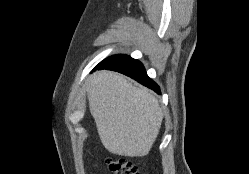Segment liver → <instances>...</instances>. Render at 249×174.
Returning <instances> with one entry per match:
<instances>
[{
  "label": "liver",
  "mask_w": 249,
  "mask_h": 174,
  "mask_svg": "<svg viewBox=\"0 0 249 174\" xmlns=\"http://www.w3.org/2000/svg\"><path fill=\"white\" fill-rule=\"evenodd\" d=\"M87 96L100 140L109 152L126 157L150 152L163 120L152 93L104 70L92 75Z\"/></svg>",
  "instance_id": "liver-1"
}]
</instances>
